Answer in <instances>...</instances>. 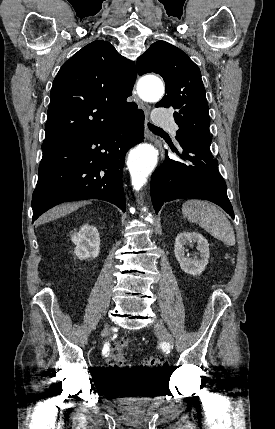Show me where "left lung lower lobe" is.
Returning a JSON list of instances; mask_svg holds the SVG:
<instances>
[{
	"instance_id": "0a47b994",
	"label": "left lung lower lobe",
	"mask_w": 275,
	"mask_h": 429,
	"mask_svg": "<svg viewBox=\"0 0 275 429\" xmlns=\"http://www.w3.org/2000/svg\"><path fill=\"white\" fill-rule=\"evenodd\" d=\"M183 161L166 155L164 163L152 174L151 199L156 213L165 202L182 198L209 200L222 207L232 218L233 208L227 197L226 183L210 145L194 138L180 141Z\"/></svg>"
}]
</instances>
